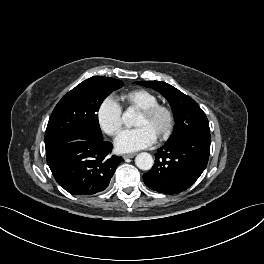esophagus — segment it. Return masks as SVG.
Returning a JSON list of instances; mask_svg holds the SVG:
<instances>
[{"instance_id": "34e87169", "label": "esophagus", "mask_w": 264, "mask_h": 264, "mask_svg": "<svg viewBox=\"0 0 264 264\" xmlns=\"http://www.w3.org/2000/svg\"><path fill=\"white\" fill-rule=\"evenodd\" d=\"M135 156H136L135 153H129V154H124V155H123V158H124V159H127V158H133V157H135Z\"/></svg>"}]
</instances>
